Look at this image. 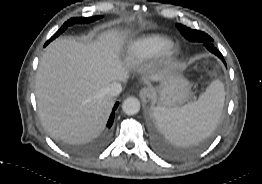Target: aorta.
Instances as JSON below:
<instances>
[{"instance_id": "1", "label": "aorta", "mask_w": 262, "mask_h": 184, "mask_svg": "<svg viewBox=\"0 0 262 184\" xmlns=\"http://www.w3.org/2000/svg\"><path fill=\"white\" fill-rule=\"evenodd\" d=\"M122 110L127 115H135L140 111V102L136 97H128L122 103Z\"/></svg>"}]
</instances>
